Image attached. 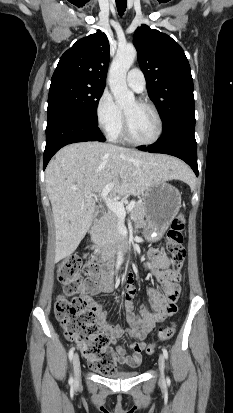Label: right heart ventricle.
I'll use <instances>...</instances> for the list:
<instances>
[{
  "instance_id": "e07e8e85",
  "label": "right heart ventricle",
  "mask_w": 233,
  "mask_h": 413,
  "mask_svg": "<svg viewBox=\"0 0 233 413\" xmlns=\"http://www.w3.org/2000/svg\"><path fill=\"white\" fill-rule=\"evenodd\" d=\"M111 139H113V140H124L125 139L124 138V132H123V126L120 129V131L114 137H112Z\"/></svg>"
}]
</instances>
